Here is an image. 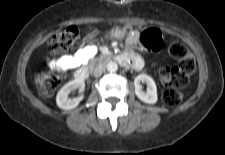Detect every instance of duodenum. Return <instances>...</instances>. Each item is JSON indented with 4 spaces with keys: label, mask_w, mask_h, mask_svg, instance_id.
<instances>
[{
    "label": "duodenum",
    "mask_w": 225,
    "mask_h": 155,
    "mask_svg": "<svg viewBox=\"0 0 225 155\" xmlns=\"http://www.w3.org/2000/svg\"><path fill=\"white\" fill-rule=\"evenodd\" d=\"M124 54L115 56V59L120 64L126 67H130V66H133L135 68L140 67L136 62H134L133 60H131L129 57L125 56ZM89 74H90V69L88 67H83L76 72L75 77L77 80L82 81V80H86L89 77Z\"/></svg>",
    "instance_id": "1"
}]
</instances>
